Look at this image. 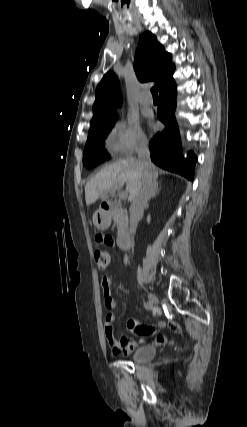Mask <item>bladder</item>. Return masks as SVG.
<instances>
[{"instance_id": "obj_1", "label": "bladder", "mask_w": 247, "mask_h": 427, "mask_svg": "<svg viewBox=\"0 0 247 427\" xmlns=\"http://www.w3.org/2000/svg\"><path fill=\"white\" fill-rule=\"evenodd\" d=\"M156 347L154 345H143L137 347L131 355V360L136 363H145L152 360L156 355Z\"/></svg>"}]
</instances>
